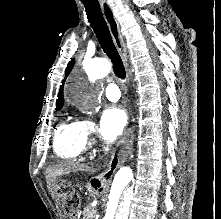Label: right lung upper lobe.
Wrapping results in <instances>:
<instances>
[{
	"label": "right lung upper lobe",
	"instance_id": "1",
	"mask_svg": "<svg viewBox=\"0 0 221 219\" xmlns=\"http://www.w3.org/2000/svg\"><path fill=\"white\" fill-rule=\"evenodd\" d=\"M73 65H74V59H72L69 62V64L67 65V68H66V71H65L66 77L69 75L70 71L72 70ZM66 77H65V79H66ZM65 79L63 80L62 85L60 86L58 99H57V102H56V109L57 110H60L63 107V104H64L63 84L65 82Z\"/></svg>",
	"mask_w": 221,
	"mask_h": 219
}]
</instances>
